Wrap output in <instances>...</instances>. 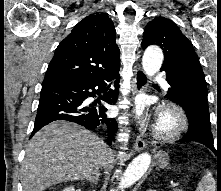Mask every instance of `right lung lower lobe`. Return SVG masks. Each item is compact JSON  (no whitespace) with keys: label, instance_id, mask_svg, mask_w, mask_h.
<instances>
[{"label":"right lung lower lobe","instance_id":"right-lung-lower-lobe-1","mask_svg":"<svg viewBox=\"0 0 221 191\" xmlns=\"http://www.w3.org/2000/svg\"><path fill=\"white\" fill-rule=\"evenodd\" d=\"M119 69L92 81L77 83H57L42 86L34 130L31 137L42 127L50 122L66 120L78 123L88 129L98 126L107 127L108 138L106 142L111 145L113 135L117 130V122L105 114L107 108L99 103L85 105L83 102L88 97H94L106 86V81L115 79V87L118 88ZM98 87V90L95 89ZM118 89L110 90L103 96V100L109 104L115 102Z\"/></svg>","mask_w":221,"mask_h":191}]
</instances>
